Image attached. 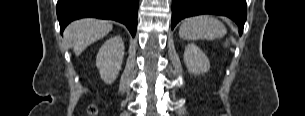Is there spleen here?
I'll use <instances>...</instances> for the list:
<instances>
[{
	"label": "spleen",
	"mask_w": 305,
	"mask_h": 116,
	"mask_svg": "<svg viewBox=\"0 0 305 116\" xmlns=\"http://www.w3.org/2000/svg\"><path fill=\"white\" fill-rule=\"evenodd\" d=\"M224 25L217 19L200 15L184 19L179 28V36L185 40H214L225 35Z\"/></svg>",
	"instance_id": "1"
}]
</instances>
